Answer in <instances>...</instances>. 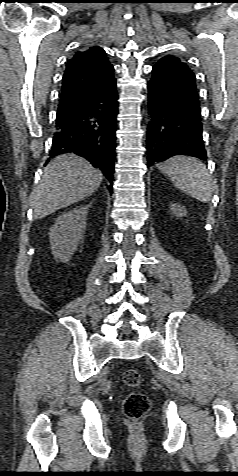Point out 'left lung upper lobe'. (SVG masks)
<instances>
[{
  "instance_id": "obj_1",
  "label": "left lung upper lobe",
  "mask_w": 238,
  "mask_h": 476,
  "mask_svg": "<svg viewBox=\"0 0 238 476\" xmlns=\"http://www.w3.org/2000/svg\"><path fill=\"white\" fill-rule=\"evenodd\" d=\"M154 67L164 70L168 76L178 82L180 86L197 94L195 75L179 58L171 55L165 56L161 58Z\"/></svg>"
}]
</instances>
